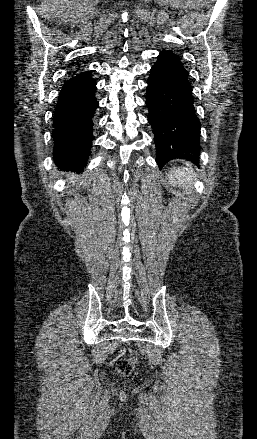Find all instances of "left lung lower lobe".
<instances>
[{
	"instance_id": "obj_1",
	"label": "left lung lower lobe",
	"mask_w": 257,
	"mask_h": 439,
	"mask_svg": "<svg viewBox=\"0 0 257 439\" xmlns=\"http://www.w3.org/2000/svg\"><path fill=\"white\" fill-rule=\"evenodd\" d=\"M148 121L155 136L156 162L181 158L199 162L200 127L188 72L171 51L161 52L147 80Z\"/></svg>"
}]
</instances>
